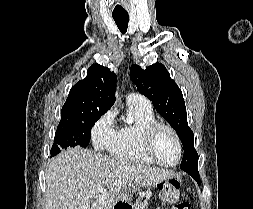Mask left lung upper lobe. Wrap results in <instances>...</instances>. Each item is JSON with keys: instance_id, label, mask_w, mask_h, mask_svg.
I'll return each mask as SVG.
<instances>
[{"instance_id": "1", "label": "left lung upper lobe", "mask_w": 253, "mask_h": 209, "mask_svg": "<svg viewBox=\"0 0 253 209\" xmlns=\"http://www.w3.org/2000/svg\"><path fill=\"white\" fill-rule=\"evenodd\" d=\"M130 74L137 90L152 101L157 112L177 132L184 146L180 168L189 175L197 172L198 154L194 148L193 132L187 123L183 95L166 67L155 63L143 70L133 64Z\"/></svg>"}]
</instances>
